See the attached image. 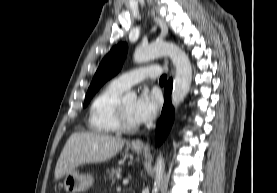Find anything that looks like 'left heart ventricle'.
I'll list each match as a JSON object with an SVG mask.
<instances>
[{
	"label": "left heart ventricle",
	"mask_w": 277,
	"mask_h": 193,
	"mask_svg": "<svg viewBox=\"0 0 277 193\" xmlns=\"http://www.w3.org/2000/svg\"><path fill=\"white\" fill-rule=\"evenodd\" d=\"M135 102L136 101L132 100V99L131 100H125V101H123V106H124V110H125V113H126L128 119L131 122L137 123V121L135 120L134 115H133Z\"/></svg>",
	"instance_id": "b2bd125f"
}]
</instances>
